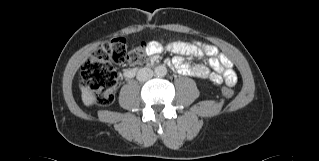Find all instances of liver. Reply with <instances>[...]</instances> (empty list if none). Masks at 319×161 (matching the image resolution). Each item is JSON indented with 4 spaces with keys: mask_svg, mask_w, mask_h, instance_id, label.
Here are the masks:
<instances>
[{
    "mask_svg": "<svg viewBox=\"0 0 319 161\" xmlns=\"http://www.w3.org/2000/svg\"><path fill=\"white\" fill-rule=\"evenodd\" d=\"M81 91H82V101L84 105L90 106L96 102L95 95L87 87L82 86Z\"/></svg>",
    "mask_w": 319,
    "mask_h": 161,
    "instance_id": "obj_1",
    "label": "liver"
}]
</instances>
